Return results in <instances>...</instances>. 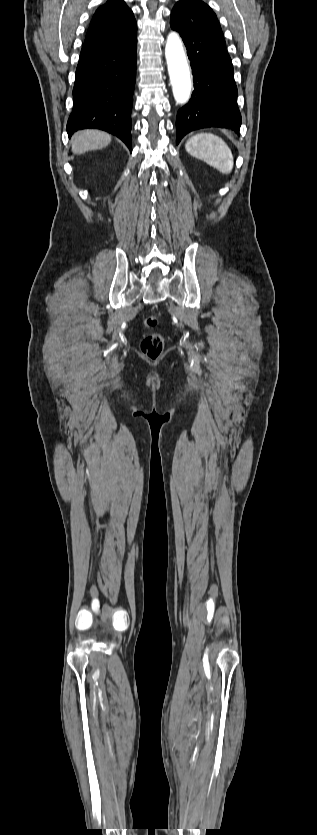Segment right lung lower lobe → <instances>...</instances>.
I'll use <instances>...</instances> for the list:
<instances>
[{"label":"right lung lower lobe","instance_id":"obj_1","mask_svg":"<svg viewBox=\"0 0 317 835\" xmlns=\"http://www.w3.org/2000/svg\"><path fill=\"white\" fill-rule=\"evenodd\" d=\"M137 34L115 45L96 40L82 46L73 88L69 137L95 128L119 137L132 151L131 109L136 77Z\"/></svg>","mask_w":317,"mask_h":835}]
</instances>
